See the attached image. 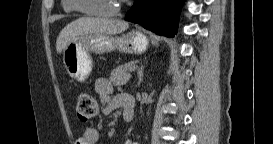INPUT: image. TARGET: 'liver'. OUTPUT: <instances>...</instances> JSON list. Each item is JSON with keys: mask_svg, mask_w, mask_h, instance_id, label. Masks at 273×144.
<instances>
[{"mask_svg": "<svg viewBox=\"0 0 273 144\" xmlns=\"http://www.w3.org/2000/svg\"><path fill=\"white\" fill-rule=\"evenodd\" d=\"M129 24L118 19L82 17L67 24L56 40V51L61 53L68 43L89 33L118 34L128 29Z\"/></svg>", "mask_w": 273, "mask_h": 144, "instance_id": "6515ba94", "label": "liver"}]
</instances>
